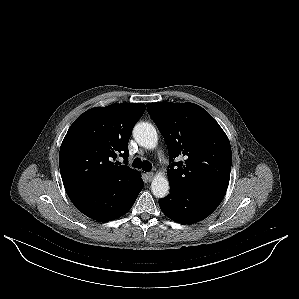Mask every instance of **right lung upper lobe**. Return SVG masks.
Instances as JSON below:
<instances>
[{
    "label": "right lung upper lobe",
    "instance_id": "1",
    "mask_svg": "<svg viewBox=\"0 0 299 299\" xmlns=\"http://www.w3.org/2000/svg\"><path fill=\"white\" fill-rule=\"evenodd\" d=\"M146 107L142 103H116L92 108L70 126L60 148L59 165L65 189L123 181L129 189L139 184L141 174L112 160L128 158L133 126Z\"/></svg>",
    "mask_w": 299,
    "mask_h": 299
}]
</instances>
